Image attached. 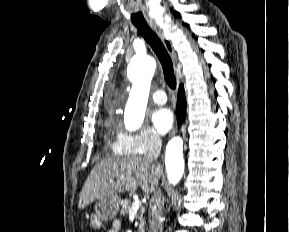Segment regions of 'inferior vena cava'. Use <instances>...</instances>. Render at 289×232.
<instances>
[{"label":"inferior vena cava","mask_w":289,"mask_h":232,"mask_svg":"<svg viewBox=\"0 0 289 232\" xmlns=\"http://www.w3.org/2000/svg\"><path fill=\"white\" fill-rule=\"evenodd\" d=\"M162 141L159 135L153 134L150 139L148 153L145 161L155 163L161 152ZM155 165V164H154ZM159 166V165H157ZM164 206V198L161 190L156 188L150 199L149 232H162L161 215Z\"/></svg>","instance_id":"inferior-vena-cava-1"}]
</instances>
